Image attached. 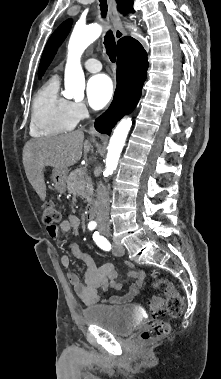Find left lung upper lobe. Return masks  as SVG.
Here are the masks:
<instances>
[{
	"label": "left lung upper lobe",
	"mask_w": 221,
	"mask_h": 379,
	"mask_svg": "<svg viewBox=\"0 0 221 379\" xmlns=\"http://www.w3.org/2000/svg\"><path fill=\"white\" fill-rule=\"evenodd\" d=\"M117 2L120 7L122 4L127 5L129 9L133 12L132 0H117ZM71 25H72V19L66 20L56 29V31L49 38L45 46V49L43 51L41 61H40L39 77H41L44 74L45 70L49 66L50 62L52 61L54 55L57 52V48L64 41L68 32L70 31Z\"/></svg>",
	"instance_id": "5c2ea615"
}]
</instances>
